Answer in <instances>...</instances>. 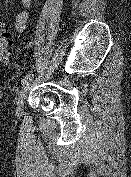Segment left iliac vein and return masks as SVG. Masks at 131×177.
I'll return each instance as SVG.
<instances>
[{"mask_svg": "<svg viewBox=\"0 0 131 177\" xmlns=\"http://www.w3.org/2000/svg\"><path fill=\"white\" fill-rule=\"evenodd\" d=\"M31 86H32V82L30 80L23 85L22 89L20 90V92L18 94V100L16 103V115H18V116L21 115L24 100H25L27 93H28L29 89L31 88Z\"/></svg>", "mask_w": 131, "mask_h": 177, "instance_id": "1", "label": "left iliac vein"}]
</instances>
